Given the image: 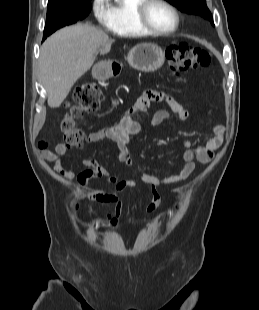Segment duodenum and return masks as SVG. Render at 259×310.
Here are the masks:
<instances>
[{"instance_id": "obj_1", "label": "duodenum", "mask_w": 259, "mask_h": 310, "mask_svg": "<svg viewBox=\"0 0 259 310\" xmlns=\"http://www.w3.org/2000/svg\"><path fill=\"white\" fill-rule=\"evenodd\" d=\"M110 70L113 75H118L120 73V67L116 64H111Z\"/></svg>"}]
</instances>
